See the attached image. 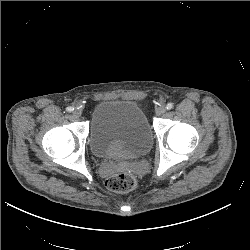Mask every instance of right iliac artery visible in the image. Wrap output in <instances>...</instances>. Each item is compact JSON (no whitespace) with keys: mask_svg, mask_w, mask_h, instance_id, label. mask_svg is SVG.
Returning a JSON list of instances; mask_svg holds the SVG:
<instances>
[{"mask_svg":"<svg viewBox=\"0 0 250 250\" xmlns=\"http://www.w3.org/2000/svg\"><path fill=\"white\" fill-rule=\"evenodd\" d=\"M73 110H74L73 107H67V108H66V111H67V112H72Z\"/></svg>","mask_w":250,"mask_h":250,"instance_id":"82829eb1","label":"right iliac artery"}]
</instances>
